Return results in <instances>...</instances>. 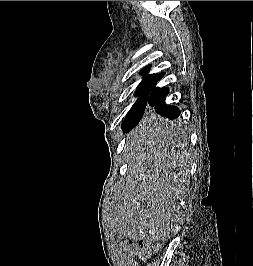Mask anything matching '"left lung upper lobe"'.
Segmentation results:
<instances>
[{
    "instance_id": "1",
    "label": "left lung upper lobe",
    "mask_w": 253,
    "mask_h": 266,
    "mask_svg": "<svg viewBox=\"0 0 253 266\" xmlns=\"http://www.w3.org/2000/svg\"><path fill=\"white\" fill-rule=\"evenodd\" d=\"M149 69V66L145 67L142 70V74H146ZM155 77L156 75H146L144 77L140 87L136 91V94L139 95V98L129 110L125 120L122 123L123 127H131L133 125H137L143 118L147 105L149 90Z\"/></svg>"
}]
</instances>
